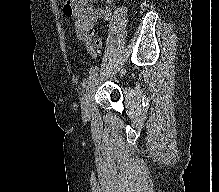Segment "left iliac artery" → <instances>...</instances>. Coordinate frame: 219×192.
<instances>
[{
    "mask_svg": "<svg viewBox=\"0 0 219 192\" xmlns=\"http://www.w3.org/2000/svg\"><path fill=\"white\" fill-rule=\"evenodd\" d=\"M97 76H98V72L92 73V74L87 78V80L84 82V86L86 87L87 85L92 84V83L95 81V79L97 78Z\"/></svg>",
    "mask_w": 219,
    "mask_h": 192,
    "instance_id": "44dca946",
    "label": "left iliac artery"
}]
</instances>
